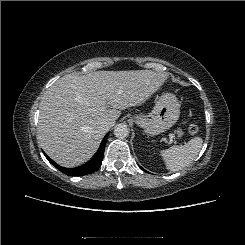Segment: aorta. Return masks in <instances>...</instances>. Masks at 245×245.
<instances>
[{
  "label": "aorta",
  "mask_w": 245,
  "mask_h": 245,
  "mask_svg": "<svg viewBox=\"0 0 245 245\" xmlns=\"http://www.w3.org/2000/svg\"><path fill=\"white\" fill-rule=\"evenodd\" d=\"M114 135L119 139H125L129 136V128L126 124H117L114 128Z\"/></svg>",
  "instance_id": "aorta-1"
}]
</instances>
